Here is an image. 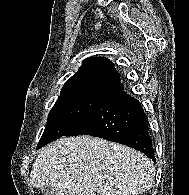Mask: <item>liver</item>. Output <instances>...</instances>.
<instances>
[{"instance_id":"liver-1","label":"liver","mask_w":189,"mask_h":195,"mask_svg":"<svg viewBox=\"0 0 189 195\" xmlns=\"http://www.w3.org/2000/svg\"><path fill=\"white\" fill-rule=\"evenodd\" d=\"M154 164L130 147L90 136L60 138L39 152L30 174L35 188L56 195H135L154 182Z\"/></svg>"}]
</instances>
